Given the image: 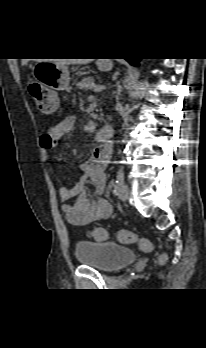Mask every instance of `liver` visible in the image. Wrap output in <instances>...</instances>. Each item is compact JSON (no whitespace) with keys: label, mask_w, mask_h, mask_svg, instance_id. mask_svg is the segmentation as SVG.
<instances>
[{"label":"liver","mask_w":206,"mask_h":348,"mask_svg":"<svg viewBox=\"0 0 206 348\" xmlns=\"http://www.w3.org/2000/svg\"><path fill=\"white\" fill-rule=\"evenodd\" d=\"M93 59H54L52 62L58 64V65H70V64H88ZM28 62V59H24L22 61L23 64H26Z\"/></svg>","instance_id":"obj_1"}]
</instances>
